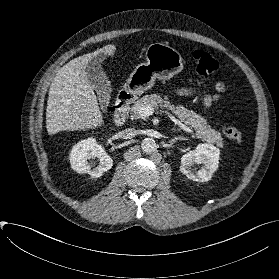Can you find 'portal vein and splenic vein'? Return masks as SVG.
<instances>
[{"mask_svg": "<svg viewBox=\"0 0 279 279\" xmlns=\"http://www.w3.org/2000/svg\"><path fill=\"white\" fill-rule=\"evenodd\" d=\"M139 113L142 116L147 117V116H150V115H152L154 113V108H152L151 106L141 107ZM172 120L176 124H178L181 129H183L184 131H186L188 133H192L193 134V131L190 128H188L187 126H185L184 124H182L180 121H178L174 117H172Z\"/></svg>", "mask_w": 279, "mask_h": 279, "instance_id": "obj_1", "label": "portal vein and splenic vein"}]
</instances>
